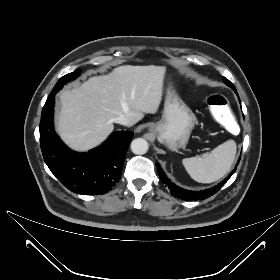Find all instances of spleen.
Returning a JSON list of instances; mask_svg holds the SVG:
<instances>
[{"label": "spleen", "instance_id": "3e777b00", "mask_svg": "<svg viewBox=\"0 0 280 280\" xmlns=\"http://www.w3.org/2000/svg\"><path fill=\"white\" fill-rule=\"evenodd\" d=\"M236 143L228 140L201 157L184 158L182 163L192 179L199 183H212L224 177L234 162Z\"/></svg>", "mask_w": 280, "mask_h": 280}]
</instances>
